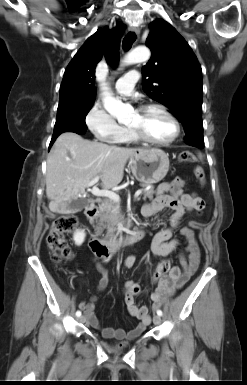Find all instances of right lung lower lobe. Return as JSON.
<instances>
[{
    "label": "right lung lower lobe",
    "mask_w": 247,
    "mask_h": 385,
    "mask_svg": "<svg viewBox=\"0 0 247 385\" xmlns=\"http://www.w3.org/2000/svg\"><path fill=\"white\" fill-rule=\"evenodd\" d=\"M69 132H75L77 134H84L86 132V130H73V131H69ZM60 134L58 135H53L52 139H51V142H50V147L52 146V144L54 143V141L56 140V138L59 136Z\"/></svg>",
    "instance_id": "obj_1"
}]
</instances>
